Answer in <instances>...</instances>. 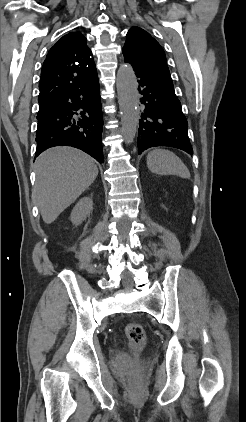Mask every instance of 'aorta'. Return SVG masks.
Here are the masks:
<instances>
[{"label":"aorta","mask_w":246,"mask_h":422,"mask_svg":"<svg viewBox=\"0 0 246 422\" xmlns=\"http://www.w3.org/2000/svg\"><path fill=\"white\" fill-rule=\"evenodd\" d=\"M117 93L121 115V131L126 143H131L138 126V91L133 68L122 64L117 71Z\"/></svg>","instance_id":"obj_1"}]
</instances>
